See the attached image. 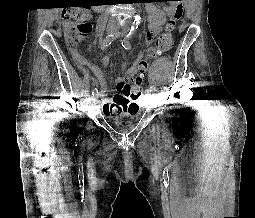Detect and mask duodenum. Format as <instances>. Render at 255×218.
I'll return each mask as SVG.
<instances>
[{
    "label": "duodenum",
    "mask_w": 255,
    "mask_h": 218,
    "mask_svg": "<svg viewBox=\"0 0 255 218\" xmlns=\"http://www.w3.org/2000/svg\"><path fill=\"white\" fill-rule=\"evenodd\" d=\"M96 11H97V12H101V9H100L99 7H97V8H96ZM81 65L84 66L83 62H82ZM85 65H86V66H89V65H91V64L87 61V62L85 63ZM84 67H85V66H84Z\"/></svg>",
    "instance_id": "duodenum-1"
}]
</instances>
